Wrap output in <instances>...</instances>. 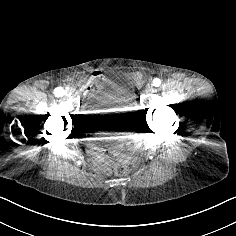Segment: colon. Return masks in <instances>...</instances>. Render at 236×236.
<instances>
[{
	"mask_svg": "<svg viewBox=\"0 0 236 236\" xmlns=\"http://www.w3.org/2000/svg\"><path fill=\"white\" fill-rule=\"evenodd\" d=\"M129 170L128 163L125 161H120L114 166V172L119 175H125Z\"/></svg>",
	"mask_w": 236,
	"mask_h": 236,
	"instance_id": "1",
	"label": "colon"
}]
</instances>
